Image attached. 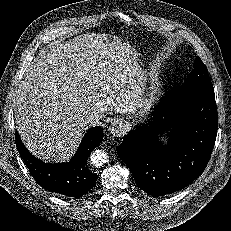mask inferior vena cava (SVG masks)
Returning a JSON list of instances; mask_svg holds the SVG:
<instances>
[{
	"mask_svg": "<svg viewBox=\"0 0 231 231\" xmlns=\"http://www.w3.org/2000/svg\"><path fill=\"white\" fill-rule=\"evenodd\" d=\"M81 119L87 125H95L99 123L100 117L96 112H84Z\"/></svg>",
	"mask_w": 231,
	"mask_h": 231,
	"instance_id": "1",
	"label": "inferior vena cava"
}]
</instances>
